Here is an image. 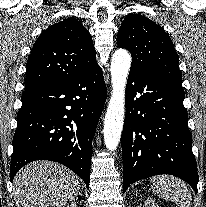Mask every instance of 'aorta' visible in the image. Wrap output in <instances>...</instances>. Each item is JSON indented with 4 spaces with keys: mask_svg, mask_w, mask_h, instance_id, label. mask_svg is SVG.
Instances as JSON below:
<instances>
[{
    "mask_svg": "<svg viewBox=\"0 0 206 207\" xmlns=\"http://www.w3.org/2000/svg\"><path fill=\"white\" fill-rule=\"evenodd\" d=\"M131 65V56L128 51L118 49L112 56L111 81L112 94L104 119V142L110 151L116 150L123 129L125 86Z\"/></svg>",
    "mask_w": 206,
    "mask_h": 207,
    "instance_id": "1",
    "label": "aorta"
}]
</instances>
